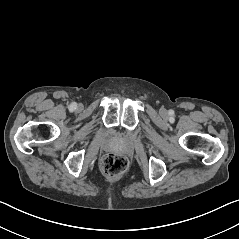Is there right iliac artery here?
<instances>
[{
	"label": "right iliac artery",
	"mask_w": 239,
	"mask_h": 239,
	"mask_svg": "<svg viewBox=\"0 0 239 239\" xmlns=\"http://www.w3.org/2000/svg\"><path fill=\"white\" fill-rule=\"evenodd\" d=\"M76 107H77V104H76L75 102H73V103H71V105L69 106V109H70L71 111H73L74 109H76Z\"/></svg>",
	"instance_id": "1"
}]
</instances>
